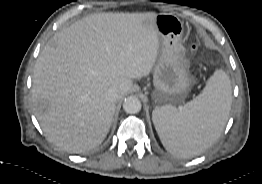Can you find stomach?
I'll use <instances>...</instances> for the list:
<instances>
[{
    "label": "stomach",
    "mask_w": 262,
    "mask_h": 184,
    "mask_svg": "<svg viewBox=\"0 0 262 184\" xmlns=\"http://www.w3.org/2000/svg\"><path fill=\"white\" fill-rule=\"evenodd\" d=\"M160 53L153 70L154 97L160 103L182 101L192 86L184 63L183 22L169 13L157 14Z\"/></svg>",
    "instance_id": "stomach-1"
}]
</instances>
